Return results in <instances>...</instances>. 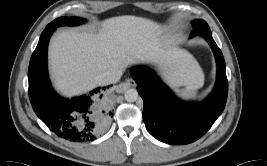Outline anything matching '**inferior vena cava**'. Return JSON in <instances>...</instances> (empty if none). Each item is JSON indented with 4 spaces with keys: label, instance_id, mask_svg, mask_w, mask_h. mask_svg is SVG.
<instances>
[{
    "label": "inferior vena cava",
    "instance_id": "inferior-vena-cava-1",
    "mask_svg": "<svg viewBox=\"0 0 267 166\" xmlns=\"http://www.w3.org/2000/svg\"><path fill=\"white\" fill-rule=\"evenodd\" d=\"M122 71L119 69H110L98 76V80L102 84L116 83L121 78Z\"/></svg>",
    "mask_w": 267,
    "mask_h": 166
}]
</instances>
